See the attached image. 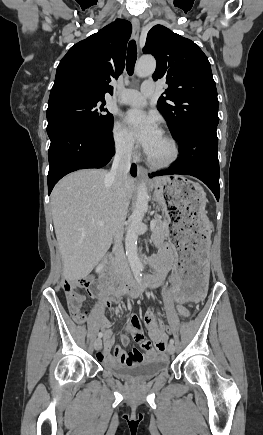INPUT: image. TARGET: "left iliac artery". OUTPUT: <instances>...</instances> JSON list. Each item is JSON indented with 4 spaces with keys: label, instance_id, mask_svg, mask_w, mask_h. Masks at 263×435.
Segmentation results:
<instances>
[{
    "label": "left iliac artery",
    "instance_id": "obj_1",
    "mask_svg": "<svg viewBox=\"0 0 263 435\" xmlns=\"http://www.w3.org/2000/svg\"><path fill=\"white\" fill-rule=\"evenodd\" d=\"M143 269V267L141 268V270ZM170 344H174V340L170 339Z\"/></svg>",
    "mask_w": 263,
    "mask_h": 435
}]
</instances>
